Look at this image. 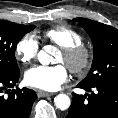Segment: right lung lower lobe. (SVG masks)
Listing matches in <instances>:
<instances>
[{
    "instance_id": "obj_1",
    "label": "right lung lower lobe",
    "mask_w": 118,
    "mask_h": 118,
    "mask_svg": "<svg viewBox=\"0 0 118 118\" xmlns=\"http://www.w3.org/2000/svg\"><path fill=\"white\" fill-rule=\"evenodd\" d=\"M19 75L20 72L10 77H0V118H28L30 115L36 93L27 88L8 89L16 85Z\"/></svg>"
}]
</instances>
